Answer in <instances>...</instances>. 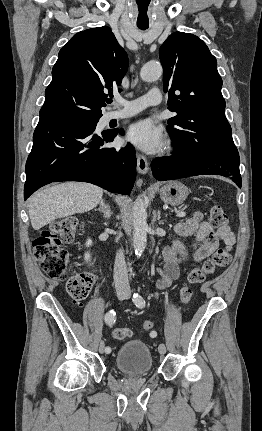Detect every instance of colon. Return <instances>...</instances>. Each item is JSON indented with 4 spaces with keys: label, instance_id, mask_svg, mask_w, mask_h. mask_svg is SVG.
<instances>
[{
    "label": "colon",
    "instance_id": "obj_1",
    "mask_svg": "<svg viewBox=\"0 0 262 431\" xmlns=\"http://www.w3.org/2000/svg\"><path fill=\"white\" fill-rule=\"evenodd\" d=\"M228 223L227 214L219 207L211 210V225L222 227ZM79 230V223L73 218L59 220L52 226L42 230L34 239L33 254L40 263L47 277L57 281H63L68 276V256L63 248V243H71ZM230 260L227 250L218 249L211 258L193 268L188 276L190 284L197 285L204 282L207 276L213 274L217 268L225 266ZM92 276L88 273H75L68 278L67 290L75 302L84 300L91 291ZM180 301L186 307L192 297V289L183 286L179 292ZM154 323L146 320L143 324L145 331H152ZM150 332V333H151ZM131 334L127 328L118 327L112 330L111 336L115 340H124ZM155 335L152 334V337Z\"/></svg>",
    "mask_w": 262,
    "mask_h": 431
}]
</instances>
